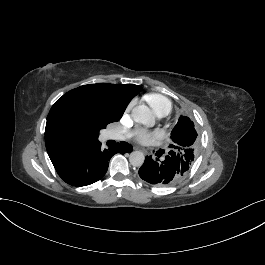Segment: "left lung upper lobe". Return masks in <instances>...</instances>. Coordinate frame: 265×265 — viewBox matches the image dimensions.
Here are the masks:
<instances>
[{
  "label": "left lung upper lobe",
  "mask_w": 265,
  "mask_h": 265,
  "mask_svg": "<svg viewBox=\"0 0 265 265\" xmlns=\"http://www.w3.org/2000/svg\"><path fill=\"white\" fill-rule=\"evenodd\" d=\"M171 139L169 151L171 154L180 156L186 175L199 149L198 134L190 118L180 116L171 132Z\"/></svg>",
  "instance_id": "5c2ea615"
}]
</instances>
